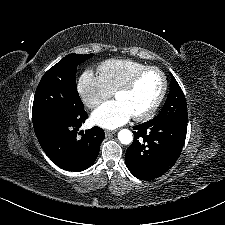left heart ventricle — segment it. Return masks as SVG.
<instances>
[{
  "mask_svg": "<svg viewBox=\"0 0 225 225\" xmlns=\"http://www.w3.org/2000/svg\"><path fill=\"white\" fill-rule=\"evenodd\" d=\"M161 88V77L157 72L148 71L138 80L134 88L119 93L116 99L124 104L132 116L147 111L156 100Z\"/></svg>",
  "mask_w": 225,
  "mask_h": 225,
  "instance_id": "1",
  "label": "left heart ventricle"
}]
</instances>
